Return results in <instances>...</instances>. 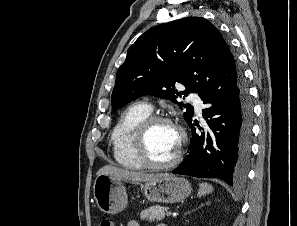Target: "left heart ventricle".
Listing matches in <instances>:
<instances>
[{"instance_id":"1","label":"left heart ventricle","mask_w":297,"mask_h":226,"mask_svg":"<svg viewBox=\"0 0 297 226\" xmlns=\"http://www.w3.org/2000/svg\"><path fill=\"white\" fill-rule=\"evenodd\" d=\"M178 140V132L170 124L157 123L153 125L146 141L150 158L159 163L170 160L176 152Z\"/></svg>"}]
</instances>
